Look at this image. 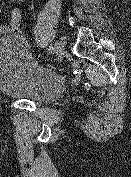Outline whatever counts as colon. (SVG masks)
I'll return each mask as SVG.
<instances>
[{
	"label": "colon",
	"mask_w": 131,
	"mask_h": 177,
	"mask_svg": "<svg viewBox=\"0 0 131 177\" xmlns=\"http://www.w3.org/2000/svg\"><path fill=\"white\" fill-rule=\"evenodd\" d=\"M22 12L17 3H13L9 9L8 26L11 36L16 38L27 48H31L30 41L22 26Z\"/></svg>",
	"instance_id": "colon-1"
}]
</instances>
